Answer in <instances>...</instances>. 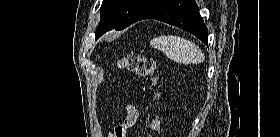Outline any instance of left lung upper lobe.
Listing matches in <instances>:
<instances>
[{
  "instance_id": "1",
  "label": "left lung upper lobe",
  "mask_w": 280,
  "mask_h": 137,
  "mask_svg": "<svg viewBox=\"0 0 280 137\" xmlns=\"http://www.w3.org/2000/svg\"><path fill=\"white\" fill-rule=\"evenodd\" d=\"M160 0H103L96 39L111 29L122 30L137 22Z\"/></svg>"
}]
</instances>
